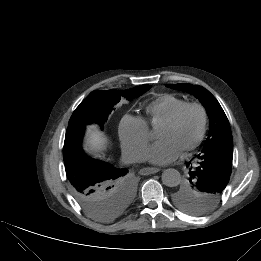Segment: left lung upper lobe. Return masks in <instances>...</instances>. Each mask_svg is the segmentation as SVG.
<instances>
[{
  "mask_svg": "<svg viewBox=\"0 0 261 261\" xmlns=\"http://www.w3.org/2000/svg\"><path fill=\"white\" fill-rule=\"evenodd\" d=\"M193 94L206 108L209 134L200 154L187 163L189 177L172 194L178 208L191 215H204L220 201L232 171L233 139L229 121L216 98L192 84H167Z\"/></svg>",
  "mask_w": 261,
  "mask_h": 261,
  "instance_id": "obj_1",
  "label": "left lung upper lobe"
}]
</instances>
